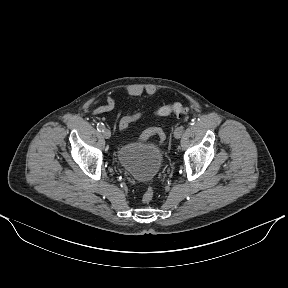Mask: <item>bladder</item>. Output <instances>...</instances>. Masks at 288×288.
Returning <instances> with one entry per match:
<instances>
[{"label":"bladder","mask_w":288,"mask_h":288,"mask_svg":"<svg viewBox=\"0 0 288 288\" xmlns=\"http://www.w3.org/2000/svg\"><path fill=\"white\" fill-rule=\"evenodd\" d=\"M119 166L139 182H148L156 177L163 163V150L154 143H124L116 149Z\"/></svg>","instance_id":"obj_1"}]
</instances>
